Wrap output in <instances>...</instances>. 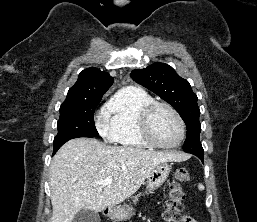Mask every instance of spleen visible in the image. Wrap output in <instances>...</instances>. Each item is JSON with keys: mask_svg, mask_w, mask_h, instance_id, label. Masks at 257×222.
<instances>
[{"mask_svg": "<svg viewBox=\"0 0 257 222\" xmlns=\"http://www.w3.org/2000/svg\"><path fill=\"white\" fill-rule=\"evenodd\" d=\"M199 190H204V186L202 184L198 185Z\"/></svg>", "mask_w": 257, "mask_h": 222, "instance_id": "3e777b00", "label": "spleen"}]
</instances>
